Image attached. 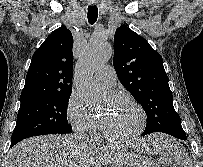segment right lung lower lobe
<instances>
[{
	"mask_svg": "<svg viewBox=\"0 0 203 167\" xmlns=\"http://www.w3.org/2000/svg\"><path fill=\"white\" fill-rule=\"evenodd\" d=\"M13 145H15V144H12V143H11V147H12Z\"/></svg>",
	"mask_w": 203,
	"mask_h": 167,
	"instance_id": "1",
	"label": "right lung lower lobe"
}]
</instances>
